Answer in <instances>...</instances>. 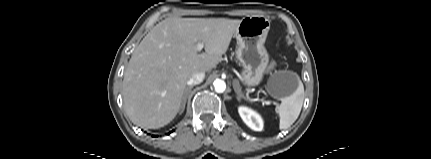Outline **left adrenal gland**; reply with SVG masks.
Instances as JSON below:
<instances>
[{
	"label": "left adrenal gland",
	"mask_w": 431,
	"mask_h": 159,
	"mask_svg": "<svg viewBox=\"0 0 431 159\" xmlns=\"http://www.w3.org/2000/svg\"><path fill=\"white\" fill-rule=\"evenodd\" d=\"M234 90H235V92L237 94V100L238 101H240L241 99L248 100V98L245 97L244 94L241 92V89L239 87L234 88Z\"/></svg>",
	"instance_id": "obj_1"
}]
</instances>
